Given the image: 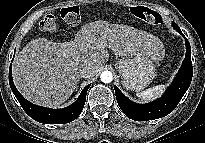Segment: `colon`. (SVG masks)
Listing matches in <instances>:
<instances>
[{"label":"colon","instance_id":"1","mask_svg":"<svg viewBox=\"0 0 205 143\" xmlns=\"http://www.w3.org/2000/svg\"><path fill=\"white\" fill-rule=\"evenodd\" d=\"M130 11L133 16L150 24L160 25L163 23L162 16L148 7L134 6L131 7ZM60 16L68 25L71 26L78 25L81 21L80 8L76 5L62 8ZM40 28L43 32L55 33L58 30L56 17L51 14L46 15L40 22Z\"/></svg>","mask_w":205,"mask_h":143}]
</instances>
